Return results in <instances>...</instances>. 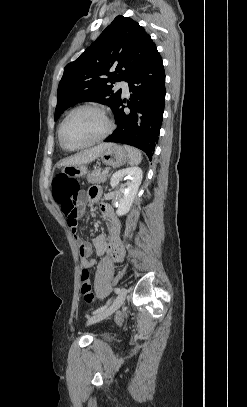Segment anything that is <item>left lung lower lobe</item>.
<instances>
[{"label": "left lung lower lobe", "instance_id": "1", "mask_svg": "<svg viewBox=\"0 0 247 407\" xmlns=\"http://www.w3.org/2000/svg\"><path fill=\"white\" fill-rule=\"evenodd\" d=\"M130 111L120 100L113 110L116 130L105 142H116L143 150L151 160L158 142L165 104V72L157 48L129 79Z\"/></svg>", "mask_w": 247, "mask_h": 407}]
</instances>
